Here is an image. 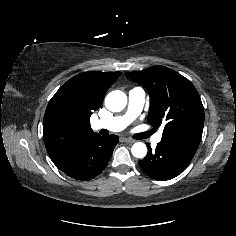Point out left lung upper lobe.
Segmentation results:
<instances>
[{
	"label": "left lung upper lobe",
	"instance_id": "obj_1",
	"mask_svg": "<svg viewBox=\"0 0 236 236\" xmlns=\"http://www.w3.org/2000/svg\"><path fill=\"white\" fill-rule=\"evenodd\" d=\"M125 75L148 90L150 108L147 121L156 127L165 125L162 140H201L204 109L197 90L187 78L164 66Z\"/></svg>",
	"mask_w": 236,
	"mask_h": 236
}]
</instances>
